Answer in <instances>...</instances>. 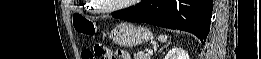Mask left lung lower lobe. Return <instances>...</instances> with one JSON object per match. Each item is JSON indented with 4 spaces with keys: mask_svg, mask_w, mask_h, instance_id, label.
<instances>
[{
    "mask_svg": "<svg viewBox=\"0 0 261 59\" xmlns=\"http://www.w3.org/2000/svg\"><path fill=\"white\" fill-rule=\"evenodd\" d=\"M213 0H142L113 17L178 29L197 36L204 44L210 30Z\"/></svg>",
    "mask_w": 261,
    "mask_h": 59,
    "instance_id": "1",
    "label": "left lung lower lobe"
}]
</instances>
